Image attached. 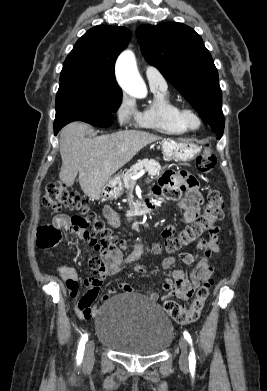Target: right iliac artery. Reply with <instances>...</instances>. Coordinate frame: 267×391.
Returning a JSON list of instances; mask_svg holds the SVG:
<instances>
[{
    "instance_id": "obj_1",
    "label": "right iliac artery",
    "mask_w": 267,
    "mask_h": 391,
    "mask_svg": "<svg viewBox=\"0 0 267 391\" xmlns=\"http://www.w3.org/2000/svg\"><path fill=\"white\" fill-rule=\"evenodd\" d=\"M87 334H84L80 340L79 346H78V351H77V363L80 364L82 359H83V352L85 349V343L87 341Z\"/></svg>"
}]
</instances>
